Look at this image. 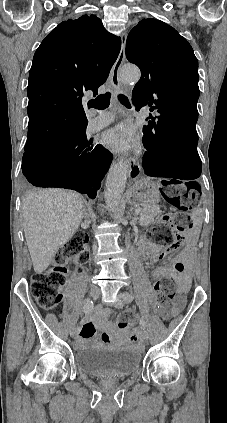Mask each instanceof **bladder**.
I'll use <instances>...</instances> for the list:
<instances>
[{
	"label": "bladder",
	"instance_id": "1",
	"mask_svg": "<svg viewBox=\"0 0 227 423\" xmlns=\"http://www.w3.org/2000/svg\"><path fill=\"white\" fill-rule=\"evenodd\" d=\"M74 364L88 376L101 379H128L142 364L138 349H89L74 354Z\"/></svg>",
	"mask_w": 227,
	"mask_h": 423
}]
</instances>
